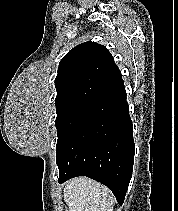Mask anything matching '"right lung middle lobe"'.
Wrapping results in <instances>:
<instances>
[{
  "label": "right lung middle lobe",
  "instance_id": "obj_1",
  "mask_svg": "<svg viewBox=\"0 0 178 211\" xmlns=\"http://www.w3.org/2000/svg\"><path fill=\"white\" fill-rule=\"evenodd\" d=\"M95 103L96 102L93 101H78L56 107L57 117L55 125L58 135L56 149L70 135L79 122L87 115Z\"/></svg>",
  "mask_w": 178,
  "mask_h": 211
}]
</instances>
